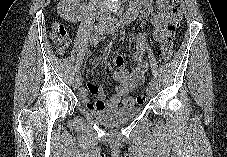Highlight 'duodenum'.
Returning a JSON list of instances; mask_svg holds the SVG:
<instances>
[{"label": "duodenum", "mask_w": 227, "mask_h": 157, "mask_svg": "<svg viewBox=\"0 0 227 157\" xmlns=\"http://www.w3.org/2000/svg\"><path fill=\"white\" fill-rule=\"evenodd\" d=\"M137 0H134L130 8L128 9L127 13L121 18L124 21L130 20L133 16H135L138 13V6L136 4Z\"/></svg>", "instance_id": "obj_1"}]
</instances>
